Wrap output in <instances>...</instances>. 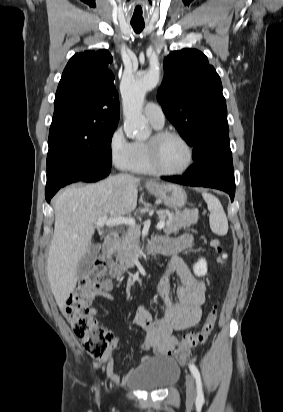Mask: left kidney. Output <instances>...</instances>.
<instances>
[{"label":"left kidney","instance_id":"left-kidney-1","mask_svg":"<svg viewBox=\"0 0 283 412\" xmlns=\"http://www.w3.org/2000/svg\"><path fill=\"white\" fill-rule=\"evenodd\" d=\"M193 271L196 276H205L207 274V262L201 258L193 265Z\"/></svg>","mask_w":283,"mask_h":412}]
</instances>
